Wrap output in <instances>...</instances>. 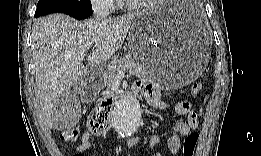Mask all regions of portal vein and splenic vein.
Segmentation results:
<instances>
[{
	"mask_svg": "<svg viewBox=\"0 0 261 156\" xmlns=\"http://www.w3.org/2000/svg\"><path fill=\"white\" fill-rule=\"evenodd\" d=\"M79 59H80V60H83V59H84V55H81ZM123 74H124V71H123V70H120V71L117 73V76H123Z\"/></svg>",
	"mask_w": 261,
	"mask_h": 156,
	"instance_id": "portal-vein-and-splenic-vein-1",
	"label": "portal vein and splenic vein"
}]
</instances>
